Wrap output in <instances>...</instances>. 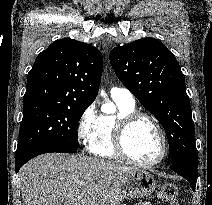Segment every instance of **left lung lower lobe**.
<instances>
[{"label": "left lung lower lobe", "instance_id": "obj_1", "mask_svg": "<svg viewBox=\"0 0 212 205\" xmlns=\"http://www.w3.org/2000/svg\"><path fill=\"white\" fill-rule=\"evenodd\" d=\"M198 159L188 160L179 164H173L170 168L180 176L189 181L193 191H195L197 181Z\"/></svg>", "mask_w": 212, "mask_h": 205}]
</instances>
